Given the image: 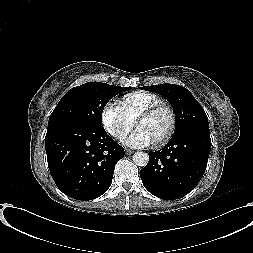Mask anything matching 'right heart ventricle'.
<instances>
[{
    "label": "right heart ventricle",
    "mask_w": 253,
    "mask_h": 253,
    "mask_svg": "<svg viewBox=\"0 0 253 253\" xmlns=\"http://www.w3.org/2000/svg\"><path fill=\"white\" fill-rule=\"evenodd\" d=\"M160 102L161 98L154 93L146 91H134L124 95L120 101V104L128 116L132 120H135L141 111Z\"/></svg>",
    "instance_id": "1"
}]
</instances>
